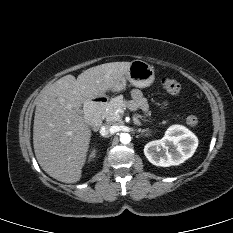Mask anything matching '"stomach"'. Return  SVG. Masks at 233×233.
<instances>
[{
	"instance_id": "stomach-1",
	"label": "stomach",
	"mask_w": 233,
	"mask_h": 233,
	"mask_svg": "<svg viewBox=\"0 0 233 233\" xmlns=\"http://www.w3.org/2000/svg\"><path fill=\"white\" fill-rule=\"evenodd\" d=\"M155 79L153 67L142 60H134L130 63L128 71L118 80L113 91H122L126 86V81H129L133 86L144 88L150 86Z\"/></svg>"
}]
</instances>
